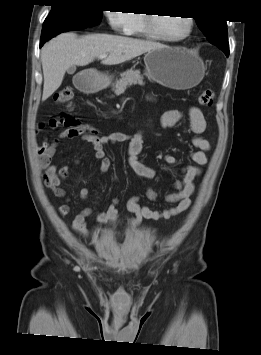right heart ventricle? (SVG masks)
<instances>
[{
    "instance_id": "right-heart-ventricle-1",
    "label": "right heart ventricle",
    "mask_w": 261,
    "mask_h": 355,
    "mask_svg": "<svg viewBox=\"0 0 261 355\" xmlns=\"http://www.w3.org/2000/svg\"><path fill=\"white\" fill-rule=\"evenodd\" d=\"M144 13L135 12L132 14V25L128 35L139 36V37H150L146 32L144 27Z\"/></svg>"
}]
</instances>
